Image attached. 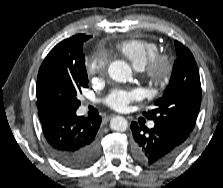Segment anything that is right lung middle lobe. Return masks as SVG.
Masks as SVG:
<instances>
[{
    "mask_svg": "<svg viewBox=\"0 0 223 188\" xmlns=\"http://www.w3.org/2000/svg\"><path fill=\"white\" fill-rule=\"evenodd\" d=\"M89 38L85 36L78 42L74 61L61 64L40 79L37 83V104L48 110H77L80 106L77 96L82 88L88 87L82 46Z\"/></svg>",
    "mask_w": 223,
    "mask_h": 188,
    "instance_id": "obj_1",
    "label": "right lung middle lobe"
}]
</instances>
